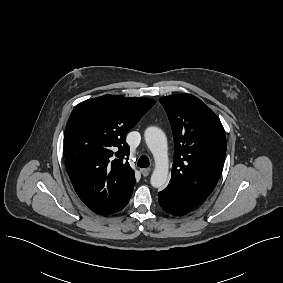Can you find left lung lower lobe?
Segmentation results:
<instances>
[{"mask_svg": "<svg viewBox=\"0 0 283 283\" xmlns=\"http://www.w3.org/2000/svg\"><path fill=\"white\" fill-rule=\"evenodd\" d=\"M158 199L162 209L171 215H185L191 210L183 206L167 188L159 192Z\"/></svg>", "mask_w": 283, "mask_h": 283, "instance_id": "left-lung-lower-lobe-1", "label": "left lung lower lobe"}]
</instances>
